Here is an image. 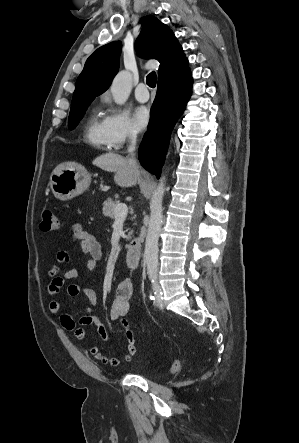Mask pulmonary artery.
<instances>
[{
    "instance_id": "obj_1",
    "label": "pulmonary artery",
    "mask_w": 299,
    "mask_h": 443,
    "mask_svg": "<svg viewBox=\"0 0 299 443\" xmlns=\"http://www.w3.org/2000/svg\"><path fill=\"white\" fill-rule=\"evenodd\" d=\"M135 98L139 102H147L149 99V93L145 83H140L135 89Z\"/></svg>"
}]
</instances>
